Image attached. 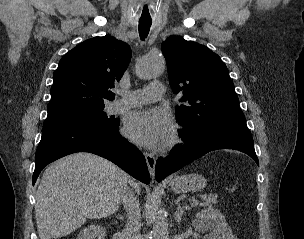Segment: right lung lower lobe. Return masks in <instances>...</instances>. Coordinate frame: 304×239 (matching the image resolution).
<instances>
[{"instance_id": "1", "label": "right lung lower lobe", "mask_w": 304, "mask_h": 239, "mask_svg": "<svg viewBox=\"0 0 304 239\" xmlns=\"http://www.w3.org/2000/svg\"><path fill=\"white\" fill-rule=\"evenodd\" d=\"M118 121L112 127L67 126L42 129L35 157L32 183L49 163L75 152L104 157L145 184L150 183L144 155L120 135Z\"/></svg>"}]
</instances>
